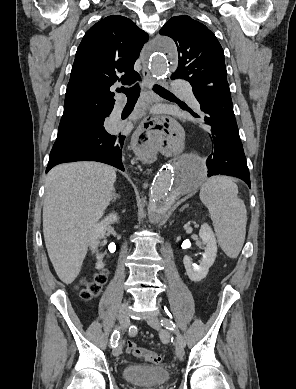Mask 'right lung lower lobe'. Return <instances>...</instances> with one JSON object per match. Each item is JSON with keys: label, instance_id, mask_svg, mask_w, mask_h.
I'll use <instances>...</instances> for the list:
<instances>
[{"label": "right lung lower lobe", "instance_id": "obj_1", "mask_svg": "<svg viewBox=\"0 0 296 389\" xmlns=\"http://www.w3.org/2000/svg\"><path fill=\"white\" fill-rule=\"evenodd\" d=\"M125 136L106 131L104 127L91 133L69 137L54 143L46 173L55 165L75 161H98L122 171V147Z\"/></svg>", "mask_w": 296, "mask_h": 389}]
</instances>
